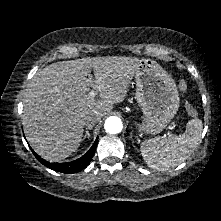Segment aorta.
<instances>
[{
  "mask_svg": "<svg viewBox=\"0 0 221 221\" xmlns=\"http://www.w3.org/2000/svg\"><path fill=\"white\" fill-rule=\"evenodd\" d=\"M122 121L120 118L111 116L106 119L104 128L110 134L120 133L122 130Z\"/></svg>",
  "mask_w": 221,
  "mask_h": 221,
  "instance_id": "1",
  "label": "aorta"
}]
</instances>
